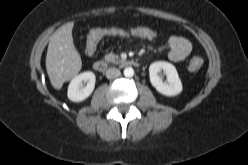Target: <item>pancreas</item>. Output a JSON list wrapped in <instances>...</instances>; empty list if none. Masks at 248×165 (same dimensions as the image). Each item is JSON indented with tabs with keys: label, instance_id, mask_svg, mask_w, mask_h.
Wrapping results in <instances>:
<instances>
[{
	"label": "pancreas",
	"instance_id": "cf45deb5",
	"mask_svg": "<svg viewBox=\"0 0 248 165\" xmlns=\"http://www.w3.org/2000/svg\"><path fill=\"white\" fill-rule=\"evenodd\" d=\"M105 61L107 62H113V63H118L120 62V58L118 55L114 54V53H108L105 55L104 57Z\"/></svg>",
	"mask_w": 248,
	"mask_h": 165
}]
</instances>
